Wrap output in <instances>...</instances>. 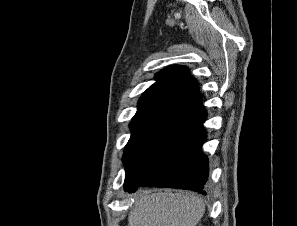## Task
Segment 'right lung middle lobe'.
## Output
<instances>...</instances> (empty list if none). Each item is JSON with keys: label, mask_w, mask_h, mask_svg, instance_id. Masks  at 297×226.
<instances>
[{"label": "right lung middle lobe", "mask_w": 297, "mask_h": 226, "mask_svg": "<svg viewBox=\"0 0 297 226\" xmlns=\"http://www.w3.org/2000/svg\"><path fill=\"white\" fill-rule=\"evenodd\" d=\"M167 121L165 119H142L131 122L132 134L125 147L122 159L125 164L126 175L136 166L154 137Z\"/></svg>", "instance_id": "obj_1"}]
</instances>
